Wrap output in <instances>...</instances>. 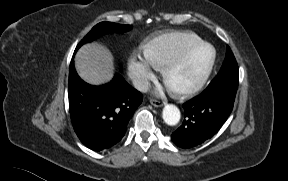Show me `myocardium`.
Listing matches in <instances>:
<instances>
[{
  "mask_svg": "<svg viewBox=\"0 0 288 181\" xmlns=\"http://www.w3.org/2000/svg\"><path fill=\"white\" fill-rule=\"evenodd\" d=\"M209 48L211 49L212 55L211 59L206 67V69L203 71V73L192 82H189L187 84L182 85H173L170 83L171 77L181 68L184 66V64L197 52ZM217 60V50L216 48L208 42H202L196 46H193L191 48H188L184 52H182L180 55H178L175 59H173L171 62L166 64L162 69V76L165 83L170 87V89L175 92L176 94L180 95H187L197 92L199 89H201L204 84L209 79L215 64Z\"/></svg>",
  "mask_w": 288,
  "mask_h": 181,
  "instance_id": "myocardium-1",
  "label": "myocardium"
}]
</instances>
